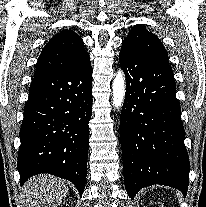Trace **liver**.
I'll use <instances>...</instances> for the list:
<instances>
[{"label":"liver","instance_id":"obj_1","mask_svg":"<svg viewBox=\"0 0 206 207\" xmlns=\"http://www.w3.org/2000/svg\"><path fill=\"white\" fill-rule=\"evenodd\" d=\"M65 180L43 174L34 176L24 184V194L29 207H57L67 196Z\"/></svg>","mask_w":206,"mask_h":207}]
</instances>
